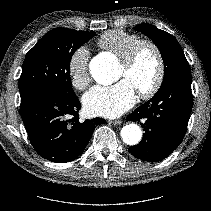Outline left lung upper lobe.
<instances>
[{
    "label": "left lung upper lobe",
    "instance_id": "obj_1",
    "mask_svg": "<svg viewBox=\"0 0 211 211\" xmlns=\"http://www.w3.org/2000/svg\"><path fill=\"white\" fill-rule=\"evenodd\" d=\"M135 29L152 39L161 52L165 68L162 85L175 76L191 74L184 52L171 34L146 23L137 25Z\"/></svg>",
    "mask_w": 211,
    "mask_h": 211
}]
</instances>
